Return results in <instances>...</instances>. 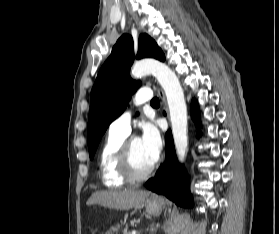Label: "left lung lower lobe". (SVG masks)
Segmentation results:
<instances>
[{
  "instance_id": "1",
  "label": "left lung lower lobe",
  "mask_w": 279,
  "mask_h": 234,
  "mask_svg": "<svg viewBox=\"0 0 279 234\" xmlns=\"http://www.w3.org/2000/svg\"><path fill=\"white\" fill-rule=\"evenodd\" d=\"M198 110V104L193 100L191 107L192 118L199 127ZM165 155V163L160 166L155 177L146 182L145 186L153 192L165 195L180 206L191 207L192 198L188 191L186 173L183 167L177 162L173 137L170 130L165 136Z\"/></svg>"
}]
</instances>
